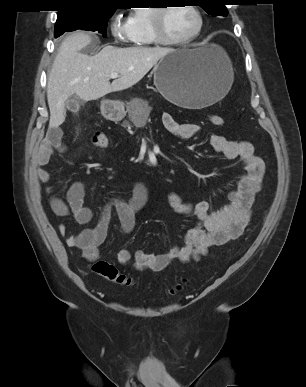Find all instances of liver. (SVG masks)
I'll list each match as a JSON object with an SVG mask.
<instances>
[{
	"mask_svg": "<svg viewBox=\"0 0 306 387\" xmlns=\"http://www.w3.org/2000/svg\"><path fill=\"white\" fill-rule=\"evenodd\" d=\"M91 42L90 35L76 32L67 36L58 49L47 82L50 128L65 121V102L69 97L76 95L84 101H91L131 88L161 58L174 50L106 45L94 56L82 53ZM111 73L119 74L112 83Z\"/></svg>",
	"mask_w": 306,
	"mask_h": 387,
	"instance_id": "1",
	"label": "liver"
}]
</instances>
